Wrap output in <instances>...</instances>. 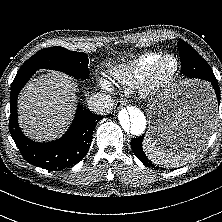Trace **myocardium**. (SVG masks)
I'll use <instances>...</instances> for the list:
<instances>
[{
    "label": "myocardium",
    "mask_w": 222,
    "mask_h": 222,
    "mask_svg": "<svg viewBox=\"0 0 222 222\" xmlns=\"http://www.w3.org/2000/svg\"><path fill=\"white\" fill-rule=\"evenodd\" d=\"M167 60L173 61V68L167 74H162L160 69ZM179 72V62L177 58L170 54L160 56L151 66L146 79L143 81V92L150 95L168 87Z\"/></svg>",
    "instance_id": "myocardium-1"
}]
</instances>
